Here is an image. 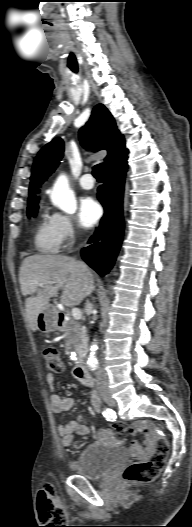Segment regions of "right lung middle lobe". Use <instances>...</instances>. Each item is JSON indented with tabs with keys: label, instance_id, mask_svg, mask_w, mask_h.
Returning a JSON list of instances; mask_svg holds the SVG:
<instances>
[{
	"label": "right lung middle lobe",
	"instance_id": "right-lung-middle-lobe-1",
	"mask_svg": "<svg viewBox=\"0 0 192 527\" xmlns=\"http://www.w3.org/2000/svg\"><path fill=\"white\" fill-rule=\"evenodd\" d=\"M37 203L38 202H34L33 204H31V207L28 208V211H27L28 216H30L31 212L35 213L37 211V209H38Z\"/></svg>",
	"mask_w": 192,
	"mask_h": 527
}]
</instances>
